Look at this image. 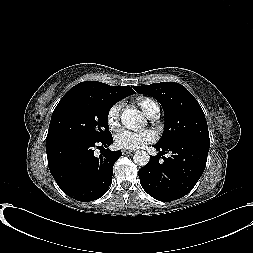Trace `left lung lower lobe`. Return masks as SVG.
<instances>
[{
    "label": "left lung lower lobe",
    "instance_id": "0a47b994",
    "mask_svg": "<svg viewBox=\"0 0 253 253\" xmlns=\"http://www.w3.org/2000/svg\"><path fill=\"white\" fill-rule=\"evenodd\" d=\"M210 143L186 139L167 146L154 145L159 155L138 172L143 189L153 198L169 202L188 194L201 177ZM169 152L170 157L163 156ZM163 161L159 160L161 158Z\"/></svg>",
    "mask_w": 253,
    "mask_h": 253
}]
</instances>
